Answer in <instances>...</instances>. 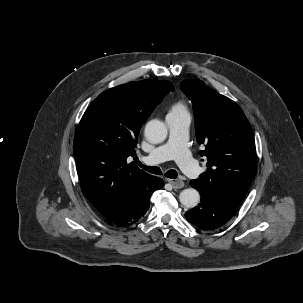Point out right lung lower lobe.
<instances>
[{
    "label": "right lung lower lobe",
    "instance_id": "obj_1",
    "mask_svg": "<svg viewBox=\"0 0 303 303\" xmlns=\"http://www.w3.org/2000/svg\"><path fill=\"white\" fill-rule=\"evenodd\" d=\"M163 186L164 182L161 178L149 176L128 192L115 196L106 209L100 213L115 227L131 226L139 221L149 209L152 193Z\"/></svg>",
    "mask_w": 303,
    "mask_h": 303
}]
</instances>
